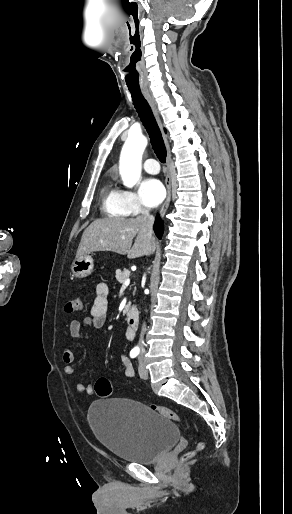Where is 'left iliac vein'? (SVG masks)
I'll return each instance as SVG.
<instances>
[{
	"label": "left iliac vein",
	"instance_id": "4c4485c4",
	"mask_svg": "<svg viewBox=\"0 0 292 514\" xmlns=\"http://www.w3.org/2000/svg\"><path fill=\"white\" fill-rule=\"evenodd\" d=\"M138 371H139V375H140V377L142 379H147L148 378V371H147L144 363L142 362V360L139 362Z\"/></svg>",
	"mask_w": 292,
	"mask_h": 514
}]
</instances>
